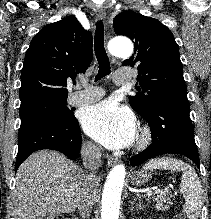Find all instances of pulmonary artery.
Instances as JSON below:
<instances>
[{
  "mask_svg": "<svg viewBox=\"0 0 211 219\" xmlns=\"http://www.w3.org/2000/svg\"><path fill=\"white\" fill-rule=\"evenodd\" d=\"M114 81L116 84H126L130 82V73L126 70L117 71L115 73ZM104 95V91L101 88H96L93 91L83 89L72 93L68 98V103L73 106H82L93 103Z\"/></svg>",
  "mask_w": 211,
  "mask_h": 219,
  "instance_id": "e3ab8cb5",
  "label": "pulmonary artery"
}]
</instances>
